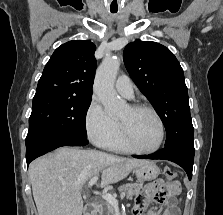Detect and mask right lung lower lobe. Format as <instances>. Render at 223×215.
I'll use <instances>...</instances> for the list:
<instances>
[{
  "label": "right lung lower lobe",
  "instance_id": "obj_1",
  "mask_svg": "<svg viewBox=\"0 0 223 215\" xmlns=\"http://www.w3.org/2000/svg\"><path fill=\"white\" fill-rule=\"evenodd\" d=\"M88 144L87 139L60 137L37 141L26 145V161L27 166L35 158L46 154L58 147L62 146H85Z\"/></svg>",
  "mask_w": 223,
  "mask_h": 215
}]
</instances>
